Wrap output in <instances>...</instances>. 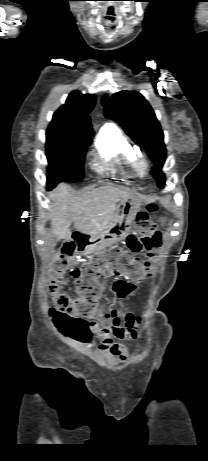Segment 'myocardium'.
<instances>
[{
	"instance_id": "1",
	"label": "myocardium",
	"mask_w": 208,
	"mask_h": 461,
	"mask_svg": "<svg viewBox=\"0 0 208 461\" xmlns=\"http://www.w3.org/2000/svg\"><path fill=\"white\" fill-rule=\"evenodd\" d=\"M132 166L141 176L146 175L149 170V162L143 154H134L132 159Z\"/></svg>"
}]
</instances>
